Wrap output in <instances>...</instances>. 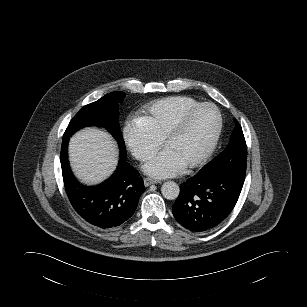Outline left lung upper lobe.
<instances>
[{"mask_svg": "<svg viewBox=\"0 0 307 307\" xmlns=\"http://www.w3.org/2000/svg\"><path fill=\"white\" fill-rule=\"evenodd\" d=\"M237 123L230 143L217 157L206 164L200 172L211 170L246 169L247 146L241 125Z\"/></svg>", "mask_w": 307, "mask_h": 307, "instance_id": "1", "label": "left lung upper lobe"}]
</instances>
